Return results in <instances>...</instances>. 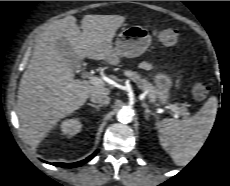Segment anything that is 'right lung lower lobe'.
Wrapping results in <instances>:
<instances>
[{"label": "right lung lower lobe", "mask_w": 230, "mask_h": 186, "mask_svg": "<svg viewBox=\"0 0 230 186\" xmlns=\"http://www.w3.org/2000/svg\"><path fill=\"white\" fill-rule=\"evenodd\" d=\"M98 151H95L92 155H90L89 157H87L86 159L79 161V162H75V163H53V165L58 166V167H65V168H72V167H78L83 165L84 163L88 162L89 160H91Z\"/></svg>", "instance_id": "1"}]
</instances>
